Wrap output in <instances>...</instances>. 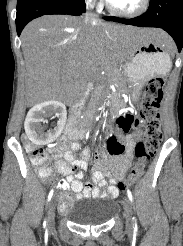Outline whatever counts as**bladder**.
Masks as SVG:
<instances>
[{
	"mask_svg": "<svg viewBox=\"0 0 183 246\" xmlns=\"http://www.w3.org/2000/svg\"><path fill=\"white\" fill-rule=\"evenodd\" d=\"M117 203L104 196L91 197L90 201L75 207L68 213V218L81 226H100L109 222L116 214Z\"/></svg>",
	"mask_w": 183,
	"mask_h": 246,
	"instance_id": "31cf9c89",
	"label": "bladder"
}]
</instances>
